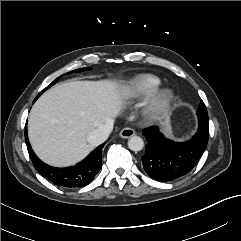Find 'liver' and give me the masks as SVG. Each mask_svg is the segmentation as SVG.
Here are the masks:
<instances>
[{
	"instance_id": "6515ba94",
	"label": "liver",
	"mask_w": 241,
	"mask_h": 241,
	"mask_svg": "<svg viewBox=\"0 0 241 241\" xmlns=\"http://www.w3.org/2000/svg\"><path fill=\"white\" fill-rule=\"evenodd\" d=\"M121 94L110 81L61 83L33 105L28 136L33 150L45 163L71 166L94 148L88 135L119 115Z\"/></svg>"
}]
</instances>
